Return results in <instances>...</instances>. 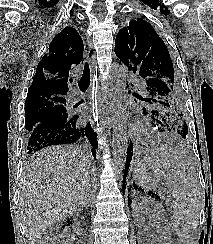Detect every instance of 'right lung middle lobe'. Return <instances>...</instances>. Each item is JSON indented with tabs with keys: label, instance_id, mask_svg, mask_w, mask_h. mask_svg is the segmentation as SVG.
<instances>
[{
	"label": "right lung middle lobe",
	"instance_id": "right-lung-middle-lobe-1",
	"mask_svg": "<svg viewBox=\"0 0 213 244\" xmlns=\"http://www.w3.org/2000/svg\"><path fill=\"white\" fill-rule=\"evenodd\" d=\"M64 96L43 94L27 97L25 103V128L26 135L42 122L67 113Z\"/></svg>",
	"mask_w": 213,
	"mask_h": 244
}]
</instances>
